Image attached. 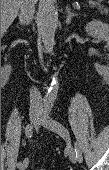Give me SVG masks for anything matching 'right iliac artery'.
Wrapping results in <instances>:
<instances>
[{"instance_id": "obj_1", "label": "right iliac artery", "mask_w": 109, "mask_h": 170, "mask_svg": "<svg viewBox=\"0 0 109 170\" xmlns=\"http://www.w3.org/2000/svg\"><path fill=\"white\" fill-rule=\"evenodd\" d=\"M25 133H26V136L27 138H31L32 137V126L31 125H27L26 128H25ZM26 160V159H25ZM24 160V161H25ZM22 166V163L21 162H18L17 163V167H20Z\"/></svg>"}]
</instances>
